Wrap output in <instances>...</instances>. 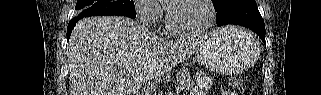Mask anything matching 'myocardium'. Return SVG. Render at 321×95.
<instances>
[{"mask_svg":"<svg viewBox=\"0 0 321 95\" xmlns=\"http://www.w3.org/2000/svg\"><path fill=\"white\" fill-rule=\"evenodd\" d=\"M186 1H191V0H174V1H171V3L166 6V18H165L166 28L172 34H174L176 36H180V37L201 36V35L205 34L212 27V25L215 22L216 10L213 5V1L212 0H198V1H202L207 6L208 12H209V18H208L207 24L202 29L195 30V31L178 29L174 26V24L172 22L171 8L176 4L186 2Z\"/></svg>","mask_w":321,"mask_h":95,"instance_id":"1","label":"myocardium"}]
</instances>
